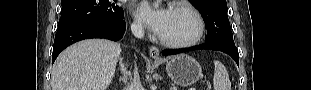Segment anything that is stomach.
I'll use <instances>...</instances> for the list:
<instances>
[{
    "label": "stomach",
    "mask_w": 311,
    "mask_h": 90,
    "mask_svg": "<svg viewBox=\"0 0 311 90\" xmlns=\"http://www.w3.org/2000/svg\"><path fill=\"white\" fill-rule=\"evenodd\" d=\"M166 72L174 83L190 86L199 80L202 68L191 56L180 54L167 60Z\"/></svg>",
    "instance_id": "stomach-1"
}]
</instances>
